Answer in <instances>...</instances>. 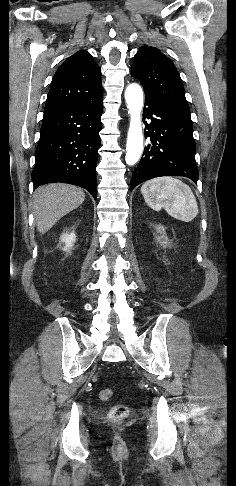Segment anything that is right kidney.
<instances>
[{
	"mask_svg": "<svg viewBox=\"0 0 236 486\" xmlns=\"http://www.w3.org/2000/svg\"><path fill=\"white\" fill-rule=\"evenodd\" d=\"M75 240H76V235L74 232L63 233L60 237V242L65 244L62 250L69 251L73 247Z\"/></svg>",
	"mask_w": 236,
	"mask_h": 486,
	"instance_id": "right-kidney-1",
	"label": "right kidney"
}]
</instances>
